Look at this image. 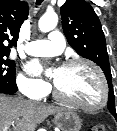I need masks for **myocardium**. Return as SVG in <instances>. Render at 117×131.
Returning a JSON list of instances; mask_svg holds the SVG:
<instances>
[{
  "mask_svg": "<svg viewBox=\"0 0 117 131\" xmlns=\"http://www.w3.org/2000/svg\"><path fill=\"white\" fill-rule=\"evenodd\" d=\"M77 65H86V66L90 67L96 73V75L100 81L101 87H102V97H101L100 102L94 106H87V105H84L80 102H77V101L67 97L65 94H63V92L58 88V86L54 82L53 94H54L55 98L57 100L61 101L62 103H65L67 105H70L72 107H75L77 109H80V110H83L86 112H95V111L102 109L107 104L108 97H109L108 84H107L106 78L104 76V73L102 72L100 67L97 66L94 62L87 60V59H82V58H75V59L66 60L62 64L61 67L70 68V67L77 66Z\"/></svg>",
  "mask_w": 117,
  "mask_h": 131,
  "instance_id": "1",
  "label": "myocardium"
}]
</instances>
